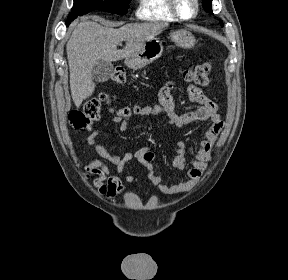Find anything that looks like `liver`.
<instances>
[{
	"mask_svg": "<svg viewBox=\"0 0 288 280\" xmlns=\"http://www.w3.org/2000/svg\"><path fill=\"white\" fill-rule=\"evenodd\" d=\"M167 27V23H130L115 29L87 20L78 23L66 45L75 106L80 107L93 94L96 85L92 70L99 60L114 62L127 58ZM122 41L126 45L118 50Z\"/></svg>",
	"mask_w": 288,
	"mask_h": 280,
	"instance_id": "6515ba94",
	"label": "liver"
}]
</instances>
